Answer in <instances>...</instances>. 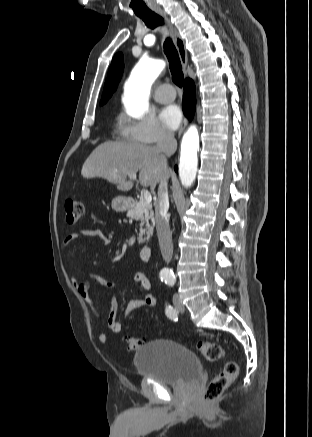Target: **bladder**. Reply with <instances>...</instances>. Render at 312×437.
<instances>
[{
  "instance_id": "1",
  "label": "bladder",
  "mask_w": 312,
  "mask_h": 437,
  "mask_svg": "<svg viewBox=\"0 0 312 437\" xmlns=\"http://www.w3.org/2000/svg\"><path fill=\"white\" fill-rule=\"evenodd\" d=\"M133 362L138 375L168 385L181 384L202 372L192 350L168 339L146 343L136 351Z\"/></svg>"
}]
</instances>
